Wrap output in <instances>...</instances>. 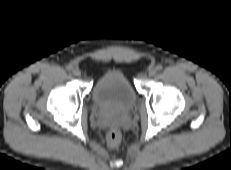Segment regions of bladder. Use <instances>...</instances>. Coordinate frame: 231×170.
<instances>
[{"label":"bladder","mask_w":231,"mask_h":170,"mask_svg":"<svg viewBox=\"0 0 231 170\" xmlns=\"http://www.w3.org/2000/svg\"><path fill=\"white\" fill-rule=\"evenodd\" d=\"M91 99L98 111L121 114L133 108L136 93L124 73L112 70L96 81Z\"/></svg>","instance_id":"bladder-1"}]
</instances>
